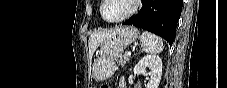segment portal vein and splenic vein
I'll use <instances>...</instances> for the list:
<instances>
[{
  "instance_id": "obj_1",
  "label": "portal vein and splenic vein",
  "mask_w": 227,
  "mask_h": 88,
  "mask_svg": "<svg viewBox=\"0 0 227 88\" xmlns=\"http://www.w3.org/2000/svg\"><path fill=\"white\" fill-rule=\"evenodd\" d=\"M126 54H127V56H130L131 55V52H127Z\"/></svg>"
}]
</instances>
